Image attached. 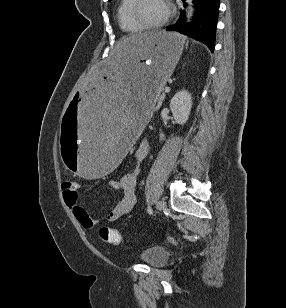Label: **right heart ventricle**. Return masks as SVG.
<instances>
[{"instance_id": "right-heart-ventricle-1", "label": "right heart ventricle", "mask_w": 286, "mask_h": 308, "mask_svg": "<svg viewBox=\"0 0 286 308\" xmlns=\"http://www.w3.org/2000/svg\"><path fill=\"white\" fill-rule=\"evenodd\" d=\"M132 0H120L117 8V20L122 31L129 34L142 32L144 29L136 24L130 17L129 10Z\"/></svg>"}]
</instances>
